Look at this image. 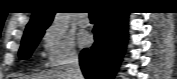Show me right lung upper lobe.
<instances>
[{"label": "right lung upper lobe", "mask_w": 177, "mask_h": 79, "mask_svg": "<svg viewBox=\"0 0 177 79\" xmlns=\"http://www.w3.org/2000/svg\"><path fill=\"white\" fill-rule=\"evenodd\" d=\"M54 14L55 12L49 11L45 7H40L34 11L31 20L25 29L23 39L30 37L37 31L48 28L53 20Z\"/></svg>", "instance_id": "right-lung-upper-lobe-1"}]
</instances>
